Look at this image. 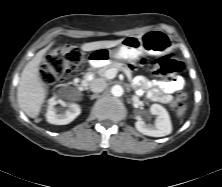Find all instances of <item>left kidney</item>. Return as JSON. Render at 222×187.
<instances>
[{
  "label": "left kidney",
  "instance_id": "5707ae66",
  "mask_svg": "<svg viewBox=\"0 0 222 187\" xmlns=\"http://www.w3.org/2000/svg\"><path fill=\"white\" fill-rule=\"evenodd\" d=\"M150 113L156 115L155 124H146L142 119L135 123L136 129L147 136L163 137L172 132V124L167 110L160 104H152Z\"/></svg>",
  "mask_w": 222,
  "mask_h": 187
}]
</instances>
